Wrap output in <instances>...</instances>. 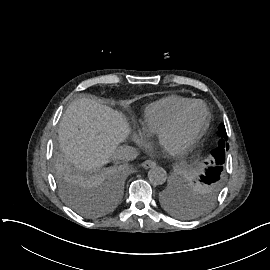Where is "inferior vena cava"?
Returning a JSON list of instances; mask_svg holds the SVG:
<instances>
[{
  "instance_id": "1",
  "label": "inferior vena cava",
  "mask_w": 270,
  "mask_h": 270,
  "mask_svg": "<svg viewBox=\"0 0 270 270\" xmlns=\"http://www.w3.org/2000/svg\"><path fill=\"white\" fill-rule=\"evenodd\" d=\"M138 155L137 150L134 147L128 145L118 146L112 153V159L115 161L123 160L129 161L134 160Z\"/></svg>"
}]
</instances>
